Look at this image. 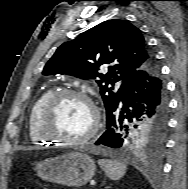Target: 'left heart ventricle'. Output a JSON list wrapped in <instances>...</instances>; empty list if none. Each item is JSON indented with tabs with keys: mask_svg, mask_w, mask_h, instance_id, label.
Listing matches in <instances>:
<instances>
[{
	"mask_svg": "<svg viewBox=\"0 0 188 189\" xmlns=\"http://www.w3.org/2000/svg\"><path fill=\"white\" fill-rule=\"evenodd\" d=\"M93 114L88 104L77 98H67L60 102L52 120L51 131L67 139L84 136L91 128Z\"/></svg>",
	"mask_w": 188,
	"mask_h": 189,
	"instance_id": "b2bd125f",
	"label": "left heart ventricle"
}]
</instances>
